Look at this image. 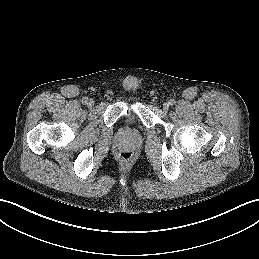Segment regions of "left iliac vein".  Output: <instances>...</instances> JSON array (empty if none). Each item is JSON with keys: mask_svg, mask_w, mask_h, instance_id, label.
Returning <instances> with one entry per match:
<instances>
[{"mask_svg": "<svg viewBox=\"0 0 259 259\" xmlns=\"http://www.w3.org/2000/svg\"><path fill=\"white\" fill-rule=\"evenodd\" d=\"M169 106H170V104H169L168 102H165V103L163 104V110H164L165 112H167V111L169 110Z\"/></svg>", "mask_w": 259, "mask_h": 259, "instance_id": "4c4485c4", "label": "left iliac vein"}]
</instances>
